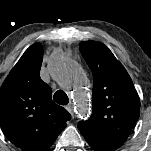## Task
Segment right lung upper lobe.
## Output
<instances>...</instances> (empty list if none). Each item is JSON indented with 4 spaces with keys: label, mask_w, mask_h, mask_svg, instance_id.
I'll use <instances>...</instances> for the list:
<instances>
[{
    "label": "right lung upper lobe",
    "mask_w": 151,
    "mask_h": 151,
    "mask_svg": "<svg viewBox=\"0 0 151 151\" xmlns=\"http://www.w3.org/2000/svg\"><path fill=\"white\" fill-rule=\"evenodd\" d=\"M43 47L30 46L0 89V126L23 151H46L71 115L52 101V89L41 80Z\"/></svg>",
    "instance_id": "obj_1"
}]
</instances>
